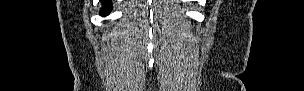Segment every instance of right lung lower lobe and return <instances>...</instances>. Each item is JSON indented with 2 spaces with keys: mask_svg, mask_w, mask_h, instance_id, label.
<instances>
[{
  "mask_svg": "<svg viewBox=\"0 0 304 91\" xmlns=\"http://www.w3.org/2000/svg\"><path fill=\"white\" fill-rule=\"evenodd\" d=\"M101 2L103 4V7L100 10V14L102 16H106L112 10V3H111V1H108V0H102Z\"/></svg>",
  "mask_w": 304,
  "mask_h": 91,
  "instance_id": "right-lung-lower-lobe-1",
  "label": "right lung lower lobe"
}]
</instances>
